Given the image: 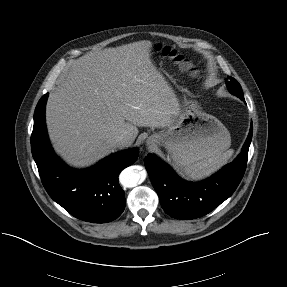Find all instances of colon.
<instances>
[{
  "instance_id": "5ec220e1",
  "label": "colon",
  "mask_w": 287,
  "mask_h": 287,
  "mask_svg": "<svg viewBox=\"0 0 287 287\" xmlns=\"http://www.w3.org/2000/svg\"><path fill=\"white\" fill-rule=\"evenodd\" d=\"M161 52L172 59L175 63H177L182 69L188 71V72H194L193 65L189 60H187L183 55L178 53L176 50L169 46H164L159 48Z\"/></svg>"
}]
</instances>
